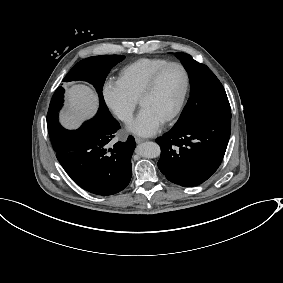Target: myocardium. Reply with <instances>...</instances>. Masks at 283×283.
<instances>
[{
  "mask_svg": "<svg viewBox=\"0 0 283 283\" xmlns=\"http://www.w3.org/2000/svg\"><path fill=\"white\" fill-rule=\"evenodd\" d=\"M172 66H178L182 70L183 75H184V88H183L182 94H181V96L178 100V103H177L175 109L163 120V122L172 121L173 119H175L180 114V112L183 109V106H184V103H185V100H186V97H187V94H188V91H189V87H190V75H189V72H188L185 65H183L180 62L173 61V62H169V63L161 66L160 68H158L156 71H154L149 76V78L145 82L144 87H143V89H142V91L139 95V98H138V104L140 105L141 102L153 92V90H154L159 78L161 77V75L168 68H170Z\"/></svg>",
  "mask_w": 283,
  "mask_h": 283,
  "instance_id": "obj_1",
  "label": "myocardium"
}]
</instances>
